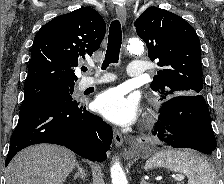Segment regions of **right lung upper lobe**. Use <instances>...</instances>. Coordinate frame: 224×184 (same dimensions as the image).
<instances>
[{
  "instance_id": "obj_1",
  "label": "right lung upper lobe",
  "mask_w": 224,
  "mask_h": 184,
  "mask_svg": "<svg viewBox=\"0 0 224 184\" xmlns=\"http://www.w3.org/2000/svg\"><path fill=\"white\" fill-rule=\"evenodd\" d=\"M105 31L103 18L90 7L46 23L34 38L25 85L75 84L78 60L91 56L100 47Z\"/></svg>"
}]
</instances>
